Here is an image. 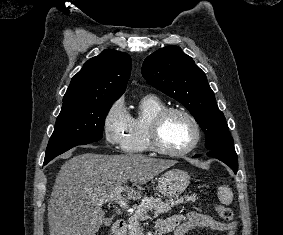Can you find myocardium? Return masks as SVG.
Listing matches in <instances>:
<instances>
[{
    "mask_svg": "<svg viewBox=\"0 0 283 235\" xmlns=\"http://www.w3.org/2000/svg\"><path fill=\"white\" fill-rule=\"evenodd\" d=\"M173 113L184 115L190 121L194 129V137L191 143L184 149L178 151H172L164 148L159 140V133L162 123L170 114ZM200 139L201 128L198 120L190 111L182 107H166L165 109L161 110L151 121L148 130V143L150 150L164 156L178 157L189 154L198 146Z\"/></svg>",
    "mask_w": 283,
    "mask_h": 235,
    "instance_id": "myocardium-1",
    "label": "myocardium"
}]
</instances>
